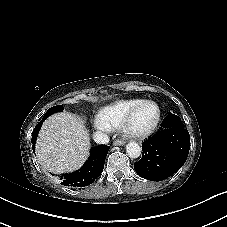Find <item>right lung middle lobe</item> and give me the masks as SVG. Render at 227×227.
<instances>
[{
  "label": "right lung middle lobe",
  "instance_id": "dd1d6c3e",
  "mask_svg": "<svg viewBox=\"0 0 227 227\" xmlns=\"http://www.w3.org/2000/svg\"><path fill=\"white\" fill-rule=\"evenodd\" d=\"M63 111V106L62 105H58V106H54L51 107L43 116V119L45 120L47 117H49L50 115L56 113V112H61Z\"/></svg>",
  "mask_w": 227,
  "mask_h": 227
}]
</instances>
